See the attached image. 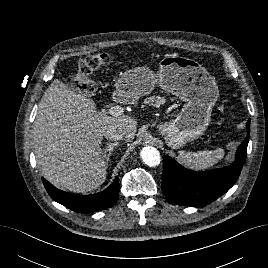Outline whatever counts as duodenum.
I'll use <instances>...</instances> for the list:
<instances>
[{
    "mask_svg": "<svg viewBox=\"0 0 268 268\" xmlns=\"http://www.w3.org/2000/svg\"><path fill=\"white\" fill-rule=\"evenodd\" d=\"M116 102H117V98L114 97V98H113V103H116Z\"/></svg>",
    "mask_w": 268,
    "mask_h": 268,
    "instance_id": "duodenum-1",
    "label": "duodenum"
}]
</instances>
